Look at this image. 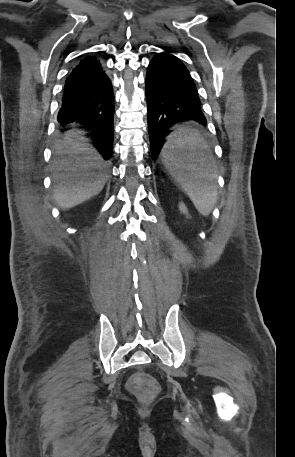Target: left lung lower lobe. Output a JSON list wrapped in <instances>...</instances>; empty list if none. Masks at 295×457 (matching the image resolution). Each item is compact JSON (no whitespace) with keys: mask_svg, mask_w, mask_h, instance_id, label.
I'll return each mask as SVG.
<instances>
[{"mask_svg":"<svg viewBox=\"0 0 295 457\" xmlns=\"http://www.w3.org/2000/svg\"><path fill=\"white\" fill-rule=\"evenodd\" d=\"M147 118L152 158L157 159L173 130L182 121L193 120L206 126L196 85L186 66L170 51L157 53L146 74ZM190 158L202 163L196 153Z\"/></svg>","mask_w":295,"mask_h":457,"instance_id":"0a47b994","label":"left lung lower lobe"}]
</instances>
